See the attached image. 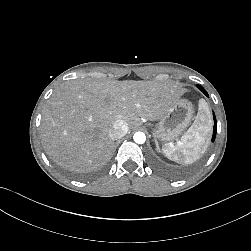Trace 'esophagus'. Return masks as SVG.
Here are the masks:
<instances>
[{
	"instance_id": "obj_1",
	"label": "esophagus",
	"mask_w": 251,
	"mask_h": 251,
	"mask_svg": "<svg viewBox=\"0 0 251 251\" xmlns=\"http://www.w3.org/2000/svg\"><path fill=\"white\" fill-rule=\"evenodd\" d=\"M139 131H140V132H146V129H145L144 127H140V128H139Z\"/></svg>"
}]
</instances>
